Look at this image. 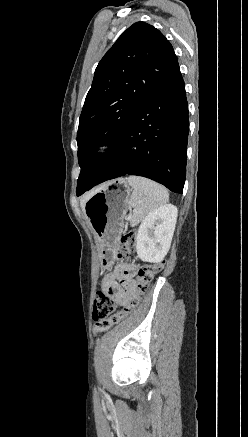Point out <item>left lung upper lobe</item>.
Listing matches in <instances>:
<instances>
[{"label":"left lung upper lobe","mask_w":248,"mask_h":437,"mask_svg":"<svg viewBox=\"0 0 248 437\" xmlns=\"http://www.w3.org/2000/svg\"><path fill=\"white\" fill-rule=\"evenodd\" d=\"M177 62L173 47L155 27L136 22L99 62L77 132V196L102 172L137 108ZM110 147L96 155L98 146Z\"/></svg>","instance_id":"5c2ea615"}]
</instances>
